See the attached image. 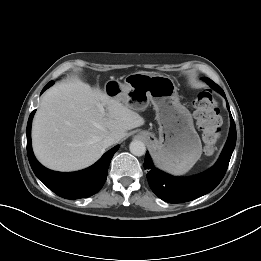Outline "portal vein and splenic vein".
I'll list each match as a JSON object with an SVG mask.
<instances>
[{
	"instance_id": "18ae733b",
	"label": "portal vein and splenic vein",
	"mask_w": 261,
	"mask_h": 261,
	"mask_svg": "<svg viewBox=\"0 0 261 261\" xmlns=\"http://www.w3.org/2000/svg\"><path fill=\"white\" fill-rule=\"evenodd\" d=\"M98 107H99V109H100V111H101L102 113H105V110H104V108H103V106H102L101 104H98Z\"/></svg>"
}]
</instances>
